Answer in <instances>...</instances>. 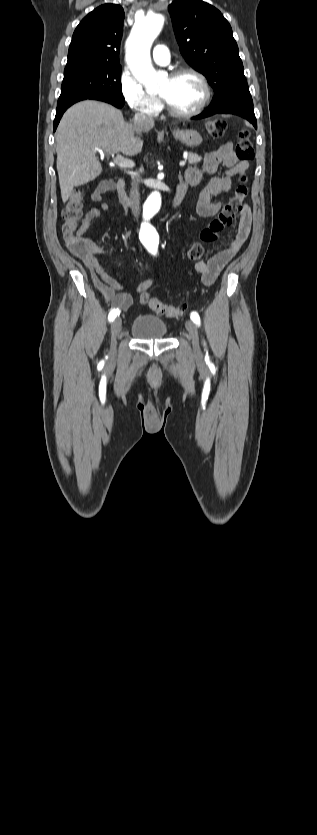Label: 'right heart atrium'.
<instances>
[{"label":"right heart atrium","instance_id":"1","mask_svg":"<svg viewBox=\"0 0 317 835\" xmlns=\"http://www.w3.org/2000/svg\"><path fill=\"white\" fill-rule=\"evenodd\" d=\"M120 92L125 103L137 114L146 117L157 116L162 103L156 96L148 94L141 83L129 71L124 70L119 77Z\"/></svg>","mask_w":317,"mask_h":835}]
</instances>
